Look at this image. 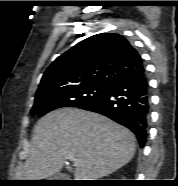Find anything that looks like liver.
<instances>
[{"label": "liver", "mask_w": 178, "mask_h": 186, "mask_svg": "<svg viewBox=\"0 0 178 186\" xmlns=\"http://www.w3.org/2000/svg\"><path fill=\"white\" fill-rule=\"evenodd\" d=\"M136 139L125 127L100 114L61 108L35 125L30 155L17 169L19 180L51 178L67 166L75 180H97L126 165L134 156Z\"/></svg>", "instance_id": "6515ba94"}]
</instances>
